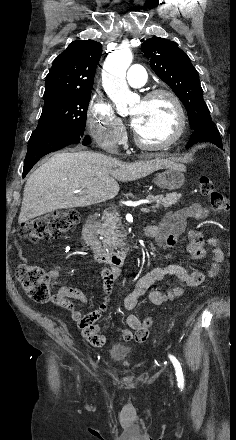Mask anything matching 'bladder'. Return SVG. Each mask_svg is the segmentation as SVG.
Listing matches in <instances>:
<instances>
[{
  "label": "bladder",
  "mask_w": 236,
  "mask_h": 440,
  "mask_svg": "<svg viewBox=\"0 0 236 440\" xmlns=\"http://www.w3.org/2000/svg\"><path fill=\"white\" fill-rule=\"evenodd\" d=\"M131 348L123 343H115L109 350V359L113 362H122L131 354Z\"/></svg>",
  "instance_id": "bladder-1"
}]
</instances>
